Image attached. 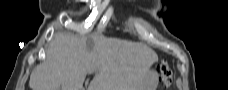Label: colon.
Instances as JSON below:
<instances>
[{
  "label": "colon",
  "instance_id": "obj_1",
  "mask_svg": "<svg viewBox=\"0 0 228 90\" xmlns=\"http://www.w3.org/2000/svg\"><path fill=\"white\" fill-rule=\"evenodd\" d=\"M160 75H161L164 89L168 90L173 82V73L167 62H163L161 64Z\"/></svg>",
  "mask_w": 228,
  "mask_h": 90
}]
</instances>
